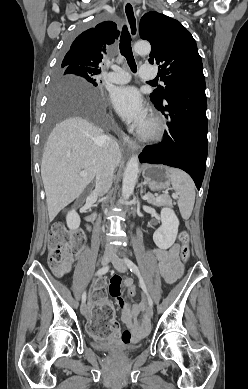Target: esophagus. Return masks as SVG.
I'll use <instances>...</instances> for the list:
<instances>
[{"label":"esophagus","mask_w":248,"mask_h":389,"mask_svg":"<svg viewBox=\"0 0 248 389\" xmlns=\"http://www.w3.org/2000/svg\"><path fill=\"white\" fill-rule=\"evenodd\" d=\"M123 10H124V14H125V17H126V20H127L129 31H130L131 35L133 37H135L137 35V18H136V14H135V9H134L133 3L131 1H129V0H127L124 3ZM126 141H127L128 147L133 152L138 150L139 145L134 140H132L129 137H126Z\"/></svg>","instance_id":"esophagus-1"}]
</instances>
